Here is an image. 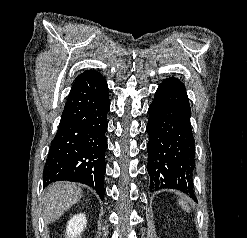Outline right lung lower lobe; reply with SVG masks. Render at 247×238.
Masks as SVG:
<instances>
[{"instance_id":"1","label":"right lung lower lobe","mask_w":247,"mask_h":238,"mask_svg":"<svg viewBox=\"0 0 247 238\" xmlns=\"http://www.w3.org/2000/svg\"><path fill=\"white\" fill-rule=\"evenodd\" d=\"M108 85L95 70L74 81L44 167L43 183L73 181L104 198Z\"/></svg>"}]
</instances>
